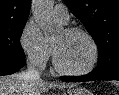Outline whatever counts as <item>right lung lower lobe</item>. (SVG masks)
Wrapping results in <instances>:
<instances>
[{
  "mask_svg": "<svg viewBox=\"0 0 119 95\" xmlns=\"http://www.w3.org/2000/svg\"><path fill=\"white\" fill-rule=\"evenodd\" d=\"M25 65V59H0V75H10Z\"/></svg>",
  "mask_w": 119,
  "mask_h": 95,
  "instance_id": "1",
  "label": "right lung lower lobe"
}]
</instances>
